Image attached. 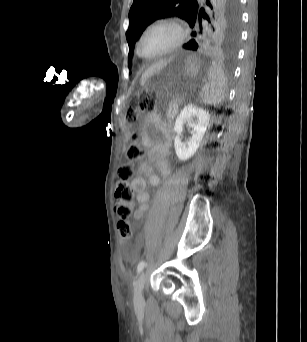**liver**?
Returning <instances> with one entry per match:
<instances>
[{
	"label": "liver",
	"instance_id": "6515ba94",
	"mask_svg": "<svg viewBox=\"0 0 307 342\" xmlns=\"http://www.w3.org/2000/svg\"><path fill=\"white\" fill-rule=\"evenodd\" d=\"M168 62H170V60H160V62H156V64H152V66H150V68L146 70L145 74H143L141 78V84H144L148 76H151V74H154V72H159V70H162V68H165Z\"/></svg>",
	"mask_w": 307,
	"mask_h": 342
}]
</instances>
